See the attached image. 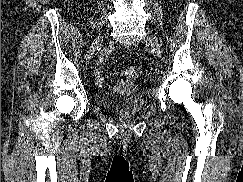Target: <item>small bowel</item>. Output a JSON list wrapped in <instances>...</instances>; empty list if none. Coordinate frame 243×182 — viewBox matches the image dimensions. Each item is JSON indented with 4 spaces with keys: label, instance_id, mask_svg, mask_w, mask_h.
Listing matches in <instances>:
<instances>
[{
    "label": "small bowel",
    "instance_id": "c3829d8e",
    "mask_svg": "<svg viewBox=\"0 0 243 182\" xmlns=\"http://www.w3.org/2000/svg\"><path fill=\"white\" fill-rule=\"evenodd\" d=\"M113 55V49L108 48L104 50L96 59V68L94 71L95 81L97 84H101L103 82V76H102V66L104 61ZM130 87V84L127 81H123L119 84L118 88L127 91Z\"/></svg>",
    "mask_w": 243,
    "mask_h": 182
}]
</instances>
